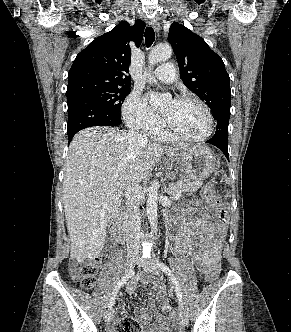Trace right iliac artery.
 Returning a JSON list of instances; mask_svg holds the SVG:
<instances>
[{
	"mask_svg": "<svg viewBox=\"0 0 291 332\" xmlns=\"http://www.w3.org/2000/svg\"><path fill=\"white\" fill-rule=\"evenodd\" d=\"M134 275V271H131L129 273H127L125 276H123L121 278V280H119V282L117 283L112 296L110 297L109 303H108V308L112 309L114 302H115V297L119 291V289L128 281L129 278H131Z\"/></svg>",
	"mask_w": 291,
	"mask_h": 332,
	"instance_id": "82829eb1",
	"label": "right iliac artery"
}]
</instances>
